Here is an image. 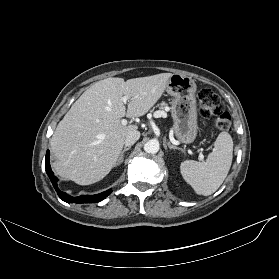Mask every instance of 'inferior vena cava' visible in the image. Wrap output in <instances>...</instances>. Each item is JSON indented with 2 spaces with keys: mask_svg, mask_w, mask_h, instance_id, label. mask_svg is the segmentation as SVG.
Masks as SVG:
<instances>
[{
  "mask_svg": "<svg viewBox=\"0 0 279 279\" xmlns=\"http://www.w3.org/2000/svg\"><path fill=\"white\" fill-rule=\"evenodd\" d=\"M139 138H140L139 131L134 130V131L129 132L124 141L125 146L133 145Z\"/></svg>",
  "mask_w": 279,
  "mask_h": 279,
  "instance_id": "1",
  "label": "inferior vena cava"
}]
</instances>
